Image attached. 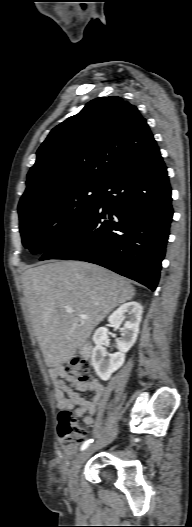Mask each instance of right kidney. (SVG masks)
<instances>
[{
	"label": "right kidney",
	"mask_w": 192,
	"mask_h": 527,
	"mask_svg": "<svg viewBox=\"0 0 192 527\" xmlns=\"http://www.w3.org/2000/svg\"><path fill=\"white\" fill-rule=\"evenodd\" d=\"M143 307L137 302H128L121 305L108 318L109 326L119 328L120 323L126 318L127 321L120 329L121 338L118 340L119 352L109 354L105 345L108 339V329L100 327L93 335L95 347L92 351L91 362L96 374L104 381L108 380L113 372L118 370L125 361V353L134 345L141 322Z\"/></svg>",
	"instance_id": "obj_1"
}]
</instances>
